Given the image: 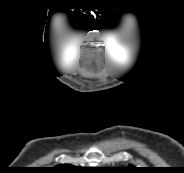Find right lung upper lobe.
I'll return each mask as SVG.
<instances>
[{
    "label": "right lung upper lobe",
    "mask_w": 184,
    "mask_h": 173,
    "mask_svg": "<svg viewBox=\"0 0 184 173\" xmlns=\"http://www.w3.org/2000/svg\"><path fill=\"white\" fill-rule=\"evenodd\" d=\"M76 168L69 164H61L53 167L51 173H72Z\"/></svg>",
    "instance_id": "right-lung-upper-lobe-1"
}]
</instances>
